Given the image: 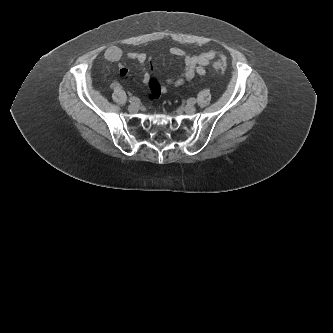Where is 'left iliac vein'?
<instances>
[{
	"instance_id": "4c4485c4",
	"label": "left iliac vein",
	"mask_w": 333,
	"mask_h": 333,
	"mask_svg": "<svg viewBox=\"0 0 333 333\" xmlns=\"http://www.w3.org/2000/svg\"><path fill=\"white\" fill-rule=\"evenodd\" d=\"M184 111L188 114H193L196 112V107L192 104H187L185 107H184Z\"/></svg>"
}]
</instances>
